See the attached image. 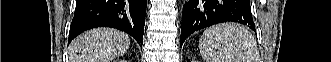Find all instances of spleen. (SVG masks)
Segmentation results:
<instances>
[{"label":"spleen","mask_w":331,"mask_h":62,"mask_svg":"<svg viewBox=\"0 0 331 62\" xmlns=\"http://www.w3.org/2000/svg\"><path fill=\"white\" fill-rule=\"evenodd\" d=\"M206 62H257L258 50L252 34L234 23L206 29L199 41Z\"/></svg>","instance_id":"obj_1"}]
</instances>
